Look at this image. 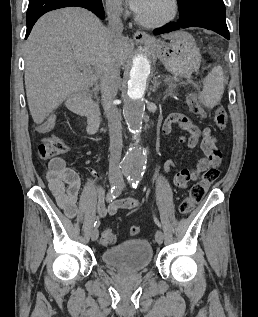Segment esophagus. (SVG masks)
<instances>
[{"instance_id": "obj_1", "label": "esophagus", "mask_w": 258, "mask_h": 317, "mask_svg": "<svg viewBox=\"0 0 258 317\" xmlns=\"http://www.w3.org/2000/svg\"><path fill=\"white\" fill-rule=\"evenodd\" d=\"M134 40H149L152 37L150 35H147V33L142 31H136L133 35Z\"/></svg>"}]
</instances>
